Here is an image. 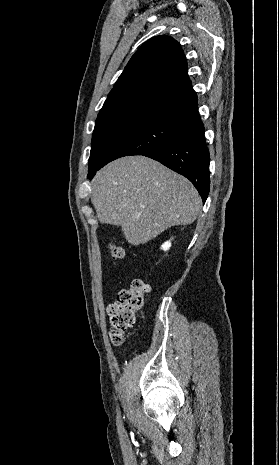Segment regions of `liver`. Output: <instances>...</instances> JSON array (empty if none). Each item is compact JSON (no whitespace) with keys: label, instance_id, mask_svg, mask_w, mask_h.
Returning a JSON list of instances; mask_svg holds the SVG:
<instances>
[{"label":"liver","instance_id":"6515ba94","mask_svg":"<svg viewBox=\"0 0 279 465\" xmlns=\"http://www.w3.org/2000/svg\"><path fill=\"white\" fill-rule=\"evenodd\" d=\"M91 202L103 224L122 228L138 246L172 226L193 223L201 199L192 183L145 156L117 159L94 176Z\"/></svg>","mask_w":279,"mask_h":465}]
</instances>
